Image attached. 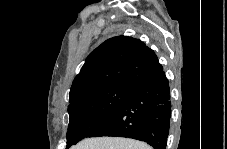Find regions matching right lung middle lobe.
<instances>
[{
  "label": "right lung middle lobe",
  "mask_w": 227,
  "mask_h": 149,
  "mask_svg": "<svg viewBox=\"0 0 227 149\" xmlns=\"http://www.w3.org/2000/svg\"><path fill=\"white\" fill-rule=\"evenodd\" d=\"M133 87L110 84L83 95L68 106L67 149L89 137L127 100Z\"/></svg>",
  "instance_id": "1"
}]
</instances>
